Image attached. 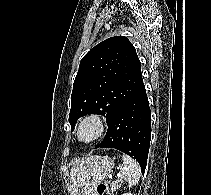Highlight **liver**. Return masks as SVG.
<instances>
[{
  "instance_id": "6515ba94",
  "label": "liver",
  "mask_w": 211,
  "mask_h": 195,
  "mask_svg": "<svg viewBox=\"0 0 211 195\" xmlns=\"http://www.w3.org/2000/svg\"><path fill=\"white\" fill-rule=\"evenodd\" d=\"M95 156L82 158L81 160H76L73 163V167L70 171V182L69 187L71 190V195H79L81 188L83 186V178L87 170V165Z\"/></svg>"
}]
</instances>
